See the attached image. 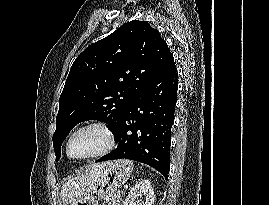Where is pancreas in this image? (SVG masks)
I'll return each mask as SVG.
<instances>
[{"instance_id":"pancreas-1","label":"pancreas","mask_w":269,"mask_h":205,"mask_svg":"<svg viewBox=\"0 0 269 205\" xmlns=\"http://www.w3.org/2000/svg\"><path fill=\"white\" fill-rule=\"evenodd\" d=\"M119 203H120V197L117 196L116 200L111 202L109 205H119Z\"/></svg>"}]
</instances>
